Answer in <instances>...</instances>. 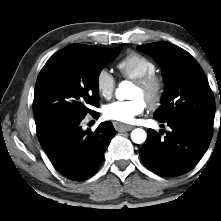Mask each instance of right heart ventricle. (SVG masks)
<instances>
[{"label":"right heart ventricle","mask_w":221,"mask_h":221,"mask_svg":"<svg viewBox=\"0 0 221 221\" xmlns=\"http://www.w3.org/2000/svg\"><path fill=\"white\" fill-rule=\"evenodd\" d=\"M120 75L125 79L135 80L156 73L157 66L150 58L131 52L117 64Z\"/></svg>","instance_id":"right-heart-ventricle-1"}]
</instances>
